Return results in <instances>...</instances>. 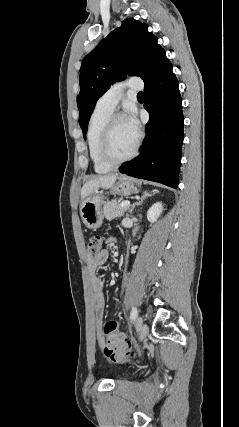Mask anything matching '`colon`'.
<instances>
[{"label": "colon", "instance_id": "colon-1", "mask_svg": "<svg viewBox=\"0 0 239 427\" xmlns=\"http://www.w3.org/2000/svg\"><path fill=\"white\" fill-rule=\"evenodd\" d=\"M103 238L93 236L89 239L86 250L89 257H95L101 249ZM118 298L121 296L118 295ZM106 345L104 354L114 362H121L126 357L132 356L133 352L130 346L125 342L124 335L118 331V324L115 320H109L104 326Z\"/></svg>", "mask_w": 239, "mask_h": 427}]
</instances>
